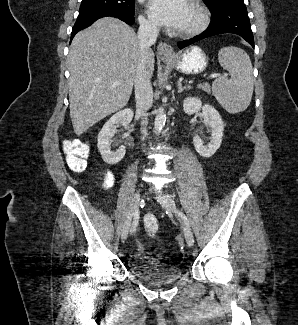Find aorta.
Returning a JSON list of instances; mask_svg holds the SVG:
<instances>
[{
  "label": "aorta",
  "mask_w": 298,
  "mask_h": 325,
  "mask_svg": "<svg viewBox=\"0 0 298 325\" xmlns=\"http://www.w3.org/2000/svg\"><path fill=\"white\" fill-rule=\"evenodd\" d=\"M166 120V106L165 104H161L159 108H157L155 120H154V128L156 130H161L165 124Z\"/></svg>",
  "instance_id": "762f6f07"
}]
</instances>
